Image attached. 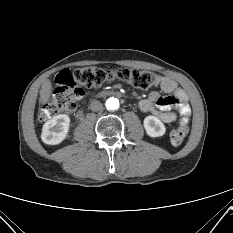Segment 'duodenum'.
Returning <instances> with one entry per match:
<instances>
[{
	"label": "duodenum",
	"mask_w": 233,
	"mask_h": 233,
	"mask_svg": "<svg viewBox=\"0 0 233 233\" xmlns=\"http://www.w3.org/2000/svg\"><path fill=\"white\" fill-rule=\"evenodd\" d=\"M116 94H119V93L116 92V91H113V90L100 91V92H98L96 94V97L97 98H104V97L111 96V95H116Z\"/></svg>",
	"instance_id": "410a0bca"
}]
</instances>
